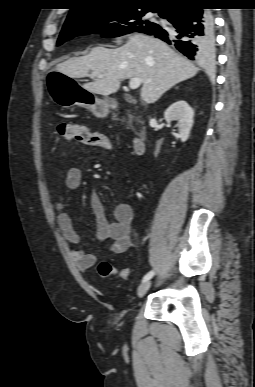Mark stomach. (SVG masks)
Instances as JSON below:
<instances>
[{
  "label": "stomach",
  "mask_w": 255,
  "mask_h": 387,
  "mask_svg": "<svg viewBox=\"0 0 255 387\" xmlns=\"http://www.w3.org/2000/svg\"><path fill=\"white\" fill-rule=\"evenodd\" d=\"M46 81L49 84L50 98L58 105L68 108L79 105L90 110L99 118L106 117L111 101L99 99L94 93L78 85L72 77L63 74L61 70H46Z\"/></svg>",
  "instance_id": "obj_1"
}]
</instances>
